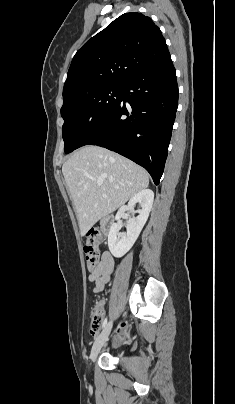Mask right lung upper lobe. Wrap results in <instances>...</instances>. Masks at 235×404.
<instances>
[{
    "label": "right lung upper lobe",
    "instance_id": "right-lung-upper-lobe-1",
    "mask_svg": "<svg viewBox=\"0 0 235 404\" xmlns=\"http://www.w3.org/2000/svg\"><path fill=\"white\" fill-rule=\"evenodd\" d=\"M169 56L165 39L151 18L125 13L77 51L64 84V104L95 89L123 85Z\"/></svg>",
    "mask_w": 235,
    "mask_h": 404
}]
</instances>
